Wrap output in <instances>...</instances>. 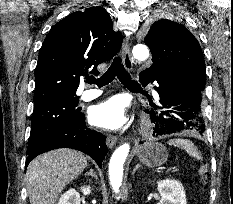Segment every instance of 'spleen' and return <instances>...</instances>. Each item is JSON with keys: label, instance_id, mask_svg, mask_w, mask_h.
<instances>
[{"label": "spleen", "instance_id": "3e777b00", "mask_svg": "<svg viewBox=\"0 0 233 204\" xmlns=\"http://www.w3.org/2000/svg\"><path fill=\"white\" fill-rule=\"evenodd\" d=\"M168 144L185 150L191 157L197 160H202V156L197 147L187 139H172L168 141Z\"/></svg>", "mask_w": 233, "mask_h": 204}]
</instances>
